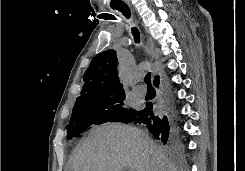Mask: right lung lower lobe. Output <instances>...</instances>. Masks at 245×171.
<instances>
[{"label": "right lung lower lobe", "mask_w": 245, "mask_h": 171, "mask_svg": "<svg viewBox=\"0 0 245 171\" xmlns=\"http://www.w3.org/2000/svg\"><path fill=\"white\" fill-rule=\"evenodd\" d=\"M154 85L159 86V77L154 81ZM162 98L163 105L160 110L152 103H148L145 109L139 111L132 121L146 124L156 139L165 145L173 146L177 142L179 128L172 94L168 88L163 90Z\"/></svg>", "instance_id": "obj_1"}]
</instances>
